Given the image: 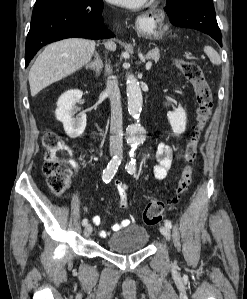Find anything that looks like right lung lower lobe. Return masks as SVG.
<instances>
[{
	"label": "right lung lower lobe",
	"instance_id": "right-lung-lower-lobe-1",
	"mask_svg": "<svg viewBox=\"0 0 247 299\" xmlns=\"http://www.w3.org/2000/svg\"><path fill=\"white\" fill-rule=\"evenodd\" d=\"M102 0H71L35 16L26 38L25 67L46 44L65 38L107 39L115 35L105 26Z\"/></svg>",
	"mask_w": 247,
	"mask_h": 299
}]
</instances>
